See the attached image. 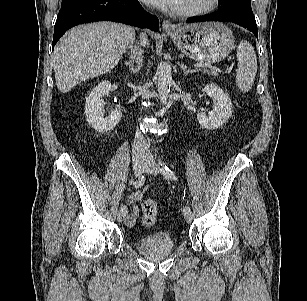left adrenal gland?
<instances>
[{
    "instance_id": "obj_1",
    "label": "left adrenal gland",
    "mask_w": 307,
    "mask_h": 301,
    "mask_svg": "<svg viewBox=\"0 0 307 301\" xmlns=\"http://www.w3.org/2000/svg\"><path fill=\"white\" fill-rule=\"evenodd\" d=\"M181 69L183 70V75L187 76L189 73H194L195 70L187 69V66L181 64Z\"/></svg>"
}]
</instances>
